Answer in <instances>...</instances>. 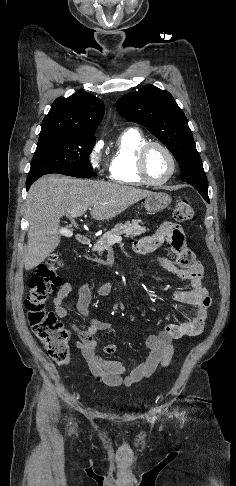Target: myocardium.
<instances>
[{"label":"myocardium","instance_id":"obj_1","mask_svg":"<svg viewBox=\"0 0 236 486\" xmlns=\"http://www.w3.org/2000/svg\"><path fill=\"white\" fill-rule=\"evenodd\" d=\"M152 147H158V148L162 149L166 153V155L168 156L169 161H170V166H171L170 171H169L168 175L160 181L152 180L148 176V173H147V170H146V156H147L148 151ZM136 167H137V173H138L140 179L145 184L151 185V186H161V185L166 184L168 181H170L171 178L174 176V174L176 172L177 164H176V159H175L174 154L165 144H163L161 142H157V141H147L146 143H144L139 148V150L137 152Z\"/></svg>","mask_w":236,"mask_h":486}]
</instances>
